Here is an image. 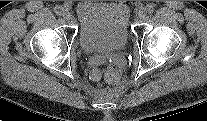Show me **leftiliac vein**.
Returning <instances> with one entry per match:
<instances>
[{"label":"left iliac vein","mask_w":207,"mask_h":121,"mask_svg":"<svg viewBox=\"0 0 207 121\" xmlns=\"http://www.w3.org/2000/svg\"><path fill=\"white\" fill-rule=\"evenodd\" d=\"M146 16V13H145V9H140L138 12H137V18L138 19H144Z\"/></svg>","instance_id":"1"}]
</instances>
